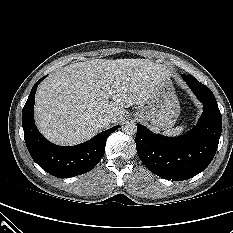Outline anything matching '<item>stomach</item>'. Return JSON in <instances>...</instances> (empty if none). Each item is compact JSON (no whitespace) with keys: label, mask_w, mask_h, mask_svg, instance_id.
<instances>
[{"label":"stomach","mask_w":233,"mask_h":233,"mask_svg":"<svg viewBox=\"0 0 233 233\" xmlns=\"http://www.w3.org/2000/svg\"><path fill=\"white\" fill-rule=\"evenodd\" d=\"M180 114V106L174 87L169 78H165L156 89L154 97L141 107L135 117L150 121L156 131L167 130L174 126Z\"/></svg>","instance_id":"obj_1"}]
</instances>
